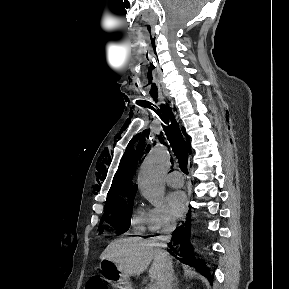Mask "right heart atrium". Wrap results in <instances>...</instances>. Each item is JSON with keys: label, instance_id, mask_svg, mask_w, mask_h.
Returning a JSON list of instances; mask_svg holds the SVG:
<instances>
[{"label": "right heart atrium", "instance_id": "d8ad5b80", "mask_svg": "<svg viewBox=\"0 0 289 289\" xmlns=\"http://www.w3.org/2000/svg\"><path fill=\"white\" fill-rule=\"evenodd\" d=\"M175 226V221L169 211L163 207L149 209L148 230L152 233L168 231Z\"/></svg>", "mask_w": 289, "mask_h": 289}]
</instances>
